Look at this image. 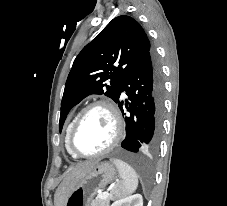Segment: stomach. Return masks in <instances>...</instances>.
<instances>
[{
    "label": "stomach",
    "mask_w": 227,
    "mask_h": 206,
    "mask_svg": "<svg viewBox=\"0 0 227 206\" xmlns=\"http://www.w3.org/2000/svg\"><path fill=\"white\" fill-rule=\"evenodd\" d=\"M116 177V169L110 162L98 163L74 187L70 196L64 197L65 206H90L99 189L111 183Z\"/></svg>",
    "instance_id": "0dacf381"
}]
</instances>
